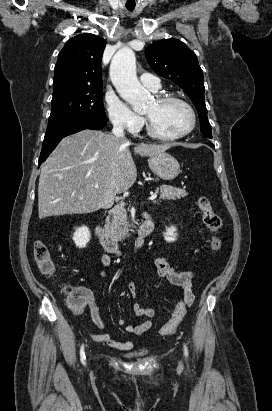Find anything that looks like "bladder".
Segmentation results:
<instances>
[{
	"mask_svg": "<svg viewBox=\"0 0 272 411\" xmlns=\"http://www.w3.org/2000/svg\"><path fill=\"white\" fill-rule=\"evenodd\" d=\"M129 357H140V355H130Z\"/></svg>",
	"mask_w": 272,
	"mask_h": 411,
	"instance_id": "1",
	"label": "bladder"
}]
</instances>
